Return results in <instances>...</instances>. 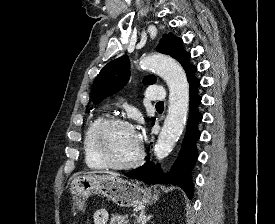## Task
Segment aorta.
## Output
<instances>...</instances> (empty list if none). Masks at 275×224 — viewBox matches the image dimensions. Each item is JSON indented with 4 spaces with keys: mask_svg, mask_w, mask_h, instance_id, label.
<instances>
[{
    "mask_svg": "<svg viewBox=\"0 0 275 224\" xmlns=\"http://www.w3.org/2000/svg\"><path fill=\"white\" fill-rule=\"evenodd\" d=\"M140 66L160 75L170 92L168 114L154 147L156 158L162 160L169 155L183 132L189 108V84L183 68L171 57L146 56L140 61Z\"/></svg>",
    "mask_w": 275,
    "mask_h": 224,
    "instance_id": "aorta-1",
    "label": "aorta"
}]
</instances>
